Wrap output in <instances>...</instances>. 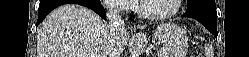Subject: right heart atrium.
Returning <instances> with one entry per match:
<instances>
[{
	"instance_id": "right-heart-atrium-1",
	"label": "right heart atrium",
	"mask_w": 249,
	"mask_h": 57,
	"mask_svg": "<svg viewBox=\"0 0 249 57\" xmlns=\"http://www.w3.org/2000/svg\"><path fill=\"white\" fill-rule=\"evenodd\" d=\"M104 5L115 14H123L131 10L132 4L128 0H106Z\"/></svg>"
}]
</instances>
